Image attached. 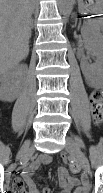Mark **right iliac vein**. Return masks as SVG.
<instances>
[{
	"label": "right iliac vein",
	"mask_w": 103,
	"mask_h": 193,
	"mask_svg": "<svg viewBox=\"0 0 103 193\" xmlns=\"http://www.w3.org/2000/svg\"><path fill=\"white\" fill-rule=\"evenodd\" d=\"M29 147H30V142H25L17 155V159L22 158L28 152Z\"/></svg>",
	"instance_id": "63e3f726"
}]
</instances>
